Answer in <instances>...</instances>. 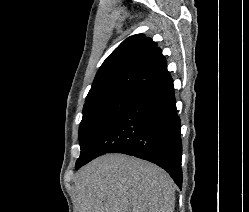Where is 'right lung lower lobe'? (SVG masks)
Here are the masks:
<instances>
[{
  "label": "right lung lower lobe",
  "mask_w": 249,
  "mask_h": 212,
  "mask_svg": "<svg viewBox=\"0 0 249 212\" xmlns=\"http://www.w3.org/2000/svg\"><path fill=\"white\" fill-rule=\"evenodd\" d=\"M180 127L173 80L169 78L140 94L122 110L79 168L105 153H122L155 163L166 170L181 188Z\"/></svg>",
  "instance_id": "1"
}]
</instances>
